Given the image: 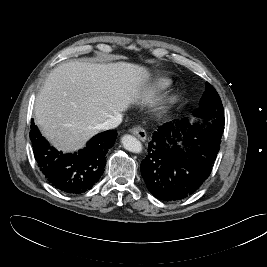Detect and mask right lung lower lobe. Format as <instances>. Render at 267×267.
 I'll return each instance as SVG.
<instances>
[{
  "instance_id": "1",
  "label": "right lung lower lobe",
  "mask_w": 267,
  "mask_h": 267,
  "mask_svg": "<svg viewBox=\"0 0 267 267\" xmlns=\"http://www.w3.org/2000/svg\"><path fill=\"white\" fill-rule=\"evenodd\" d=\"M30 139L35 159L48 182L58 190L79 194L91 189L104 172L106 154L114 145L116 131L94 136L74 154H63L51 147L31 122Z\"/></svg>"
}]
</instances>
